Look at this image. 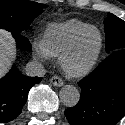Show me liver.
Returning <instances> with one entry per match:
<instances>
[{
    "instance_id": "6515ba94",
    "label": "liver",
    "mask_w": 125,
    "mask_h": 125,
    "mask_svg": "<svg viewBox=\"0 0 125 125\" xmlns=\"http://www.w3.org/2000/svg\"><path fill=\"white\" fill-rule=\"evenodd\" d=\"M15 53V44L11 34L0 29V78L8 71Z\"/></svg>"
}]
</instances>
